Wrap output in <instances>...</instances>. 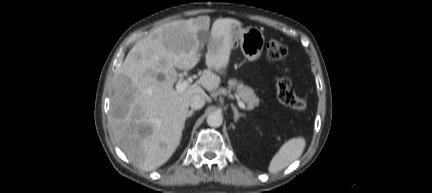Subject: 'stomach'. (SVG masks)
Listing matches in <instances>:
<instances>
[{"instance_id":"0dacf381","label":"stomach","mask_w":432,"mask_h":193,"mask_svg":"<svg viewBox=\"0 0 432 193\" xmlns=\"http://www.w3.org/2000/svg\"><path fill=\"white\" fill-rule=\"evenodd\" d=\"M265 37L257 27L234 26L232 29L233 48L240 46V49L249 61L257 60L263 51Z\"/></svg>"}]
</instances>
